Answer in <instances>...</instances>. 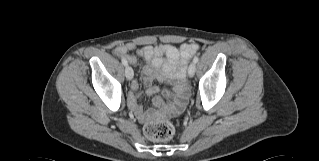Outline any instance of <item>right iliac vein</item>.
I'll return each mask as SVG.
<instances>
[{
    "instance_id": "right-iliac-vein-1",
    "label": "right iliac vein",
    "mask_w": 319,
    "mask_h": 161,
    "mask_svg": "<svg viewBox=\"0 0 319 161\" xmlns=\"http://www.w3.org/2000/svg\"><path fill=\"white\" fill-rule=\"evenodd\" d=\"M134 72L132 67L126 66L125 68V76L128 80H131L133 78Z\"/></svg>"
}]
</instances>
